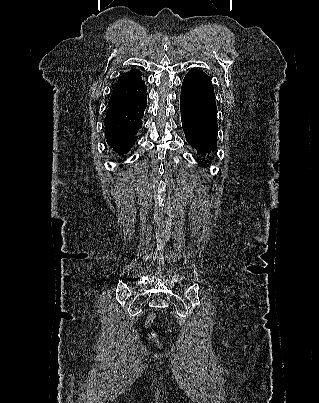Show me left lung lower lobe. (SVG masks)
I'll return each mask as SVG.
<instances>
[{
	"instance_id": "1",
	"label": "left lung lower lobe",
	"mask_w": 319,
	"mask_h": 403,
	"mask_svg": "<svg viewBox=\"0 0 319 403\" xmlns=\"http://www.w3.org/2000/svg\"><path fill=\"white\" fill-rule=\"evenodd\" d=\"M180 101L187 142L198 154L209 156L216 150L218 130L217 107L209 76L191 69L183 80Z\"/></svg>"
}]
</instances>
